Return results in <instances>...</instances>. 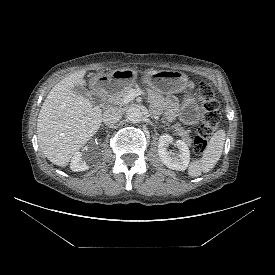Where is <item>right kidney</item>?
Wrapping results in <instances>:
<instances>
[{
	"label": "right kidney",
	"instance_id": "1",
	"mask_svg": "<svg viewBox=\"0 0 275 275\" xmlns=\"http://www.w3.org/2000/svg\"><path fill=\"white\" fill-rule=\"evenodd\" d=\"M70 168L74 172L85 171L89 167L82 159V153L76 152L71 160Z\"/></svg>",
	"mask_w": 275,
	"mask_h": 275
}]
</instances>
